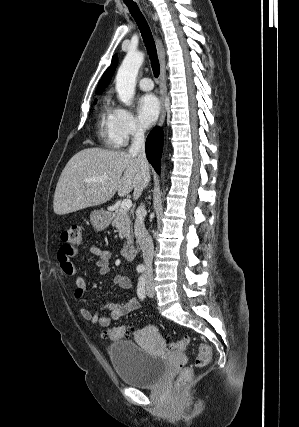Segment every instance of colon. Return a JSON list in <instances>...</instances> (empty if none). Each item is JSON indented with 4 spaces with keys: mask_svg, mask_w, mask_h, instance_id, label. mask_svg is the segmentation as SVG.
Returning a JSON list of instances; mask_svg holds the SVG:
<instances>
[{
    "mask_svg": "<svg viewBox=\"0 0 299 427\" xmlns=\"http://www.w3.org/2000/svg\"><path fill=\"white\" fill-rule=\"evenodd\" d=\"M62 240L72 246H77L81 243V227L72 226L65 230L62 233ZM107 335L112 339H122L129 335V330L124 326L111 328ZM189 340L184 338L180 341L174 342L170 345L171 349L182 352L185 350L188 345ZM212 357V350L210 346L206 344H200L198 347V355L195 359V364L197 367H204L209 364ZM193 376V371L191 368H184L181 373L178 375L176 380V388L183 390L186 388L188 383L191 381Z\"/></svg>",
    "mask_w": 299,
    "mask_h": 427,
    "instance_id": "colon-1",
    "label": "colon"
}]
</instances>
